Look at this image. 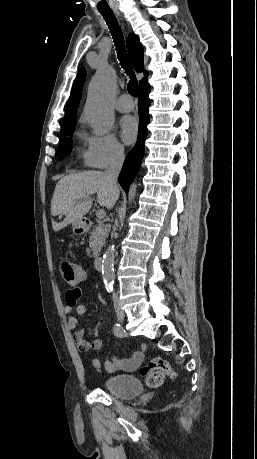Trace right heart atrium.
<instances>
[{
  "label": "right heart atrium",
  "instance_id": "right-heart-atrium-1",
  "mask_svg": "<svg viewBox=\"0 0 257 459\" xmlns=\"http://www.w3.org/2000/svg\"><path fill=\"white\" fill-rule=\"evenodd\" d=\"M87 163L94 168H106L120 161L124 147L112 133L86 136Z\"/></svg>",
  "mask_w": 257,
  "mask_h": 459
}]
</instances>
